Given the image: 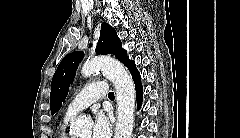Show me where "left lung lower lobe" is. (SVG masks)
Masks as SVG:
<instances>
[{
	"mask_svg": "<svg viewBox=\"0 0 240 138\" xmlns=\"http://www.w3.org/2000/svg\"><path fill=\"white\" fill-rule=\"evenodd\" d=\"M126 66L129 69V71L132 75V78L134 80V83H135L137 104H138V109H139L141 107V104H142V96H143L141 76H140L138 70L135 67L134 61L130 60L129 63Z\"/></svg>",
	"mask_w": 240,
	"mask_h": 138,
	"instance_id": "left-lung-lower-lobe-1",
	"label": "left lung lower lobe"
}]
</instances>
